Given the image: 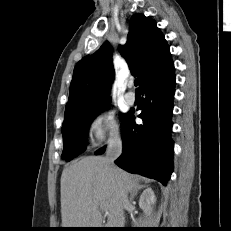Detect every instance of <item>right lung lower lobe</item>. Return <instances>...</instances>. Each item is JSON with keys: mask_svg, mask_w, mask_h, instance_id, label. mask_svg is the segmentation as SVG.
Wrapping results in <instances>:
<instances>
[{"mask_svg": "<svg viewBox=\"0 0 231 231\" xmlns=\"http://www.w3.org/2000/svg\"><path fill=\"white\" fill-rule=\"evenodd\" d=\"M175 74L172 73L141 88L145 96L138 109L143 124L134 121V111L130 110L122 119L121 136L123 153L115 164L122 169L153 178L167 184L173 172V149L171 140ZM105 152L98 149L95 155Z\"/></svg>", "mask_w": 231, "mask_h": 231, "instance_id": "1", "label": "right lung lower lobe"}]
</instances>
